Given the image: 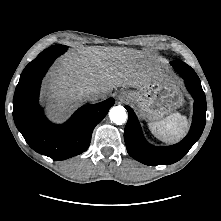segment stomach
<instances>
[{
  "label": "stomach",
  "instance_id": "0dacf381",
  "mask_svg": "<svg viewBox=\"0 0 221 221\" xmlns=\"http://www.w3.org/2000/svg\"><path fill=\"white\" fill-rule=\"evenodd\" d=\"M128 94L129 101L137 106L141 116L151 121L160 120L183 103L181 84L165 76L130 90Z\"/></svg>",
  "mask_w": 221,
  "mask_h": 221
}]
</instances>
